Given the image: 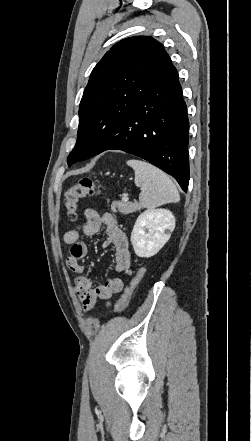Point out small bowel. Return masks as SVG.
<instances>
[{
	"instance_id": "c3829d8e",
	"label": "small bowel",
	"mask_w": 251,
	"mask_h": 441,
	"mask_svg": "<svg viewBox=\"0 0 251 441\" xmlns=\"http://www.w3.org/2000/svg\"><path fill=\"white\" fill-rule=\"evenodd\" d=\"M85 223L80 230H69L64 234V242L71 246L70 255L66 260L67 267L78 274L75 278V291L84 310L92 309L98 300L109 301L111 297L122 291L124 281L112 277L104 283L94 286L92 279L85 275L86 268L81 262L88 253L87 245L81 241L82 235H95L103 226L106 230L104 246H112L115 256V270L118 273L131 272V252L126 233L121 229L114 216L110 213L100 215L92 208L84 210Z\"/></svg>"
}]
</instances>
